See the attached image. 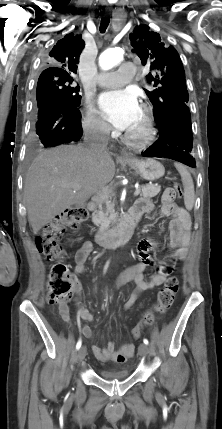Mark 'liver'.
<instances>
[{
    "mask_svg": "<svg viewBox=\"0 0 222 429\" xmlns=\"http://www.w3.org/2000/svg\"><path fill=\"white\" fill-rule=\"evenodd\" d=\"M114 175L115 163L107 150L95 153L70 145L42 151L29 167L24 186L33 233L72 205L84 204Z\"/></svg>",
    "mask_w": 222,
    "mask_h": 429,
    "instance_id": "obj_1",
    "label": "liver"
}]
</instances>
